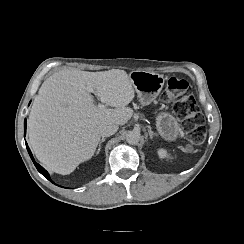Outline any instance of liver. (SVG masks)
I'll list each match as a JSON object with an SVG mask.
<instances>
[{
  "mask_svg": "<svg viewBox=\"0 0 244 244\" xmlns=\"http://www.w3.org/2000/svg\"><path fill=\"white\" fill-rule=\"evenodd\" d=\"M88 88L110 108L96 105ZM134 96L125 70L65 69L49 76L34 97L28 120L29 143L36 157L56 173H72L93 157L101 126L108 122L123 126L130 121L133 110L127 106Z\"/></svg>",
  "mask_w": 244,
  "mask_h": 244,
  "instance_id": "obj_1",
  "label": "liver"
}]
</instances>
